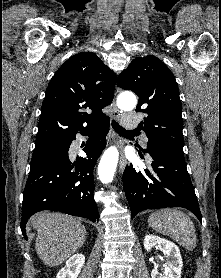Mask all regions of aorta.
I'll use <instances>...</instances> for the list:
<instances>
[{"instance_id": "obj_1", "label": "aorta", "mask_w": 221, "mask_h": 278, "mask_svg": "<svg viewBox=\"0 0 221 278\" xmlns=\"http://www.w3.org/2000/svg\"><path fill=\"white\" fill-rule=\"evenodd\" d=\"M117 104L121 109H133L136 105V97L134 95L122 96L118 98ZM119 152L116 147L108 148L99 163L98 175L102 183L108 184L113 180V176L118 163Z\"/></svg>"}]
</instances>
